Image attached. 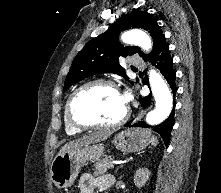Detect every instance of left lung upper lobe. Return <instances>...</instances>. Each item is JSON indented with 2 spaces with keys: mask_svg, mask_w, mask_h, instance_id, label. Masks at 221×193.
Wrapping results in <instances>:
<instances>
[{
  "mask_svg": "<svg viewBox=\"0 0 221 193\" xmlns=\"http://www.w3.org/2000/svg\"><path fill=\"white\" fill-rule=\"evenodd\" d=\"M130 28H143L149 31L153 38V50L149 56L143 55L139 47H124L117 41L118 34ZM164 41L165 35L154 17L147 11H134L123 15L108 31L90 40L76 55L66 77L63 91L71 85L99 73L111 72L127 79L124 68L119 64V58L139 53L146 60Z\"/></svg>",
  "mask_w": 221,
  "mask_h": 193,
  "instance_id": "obj_1",
  "label": "left lung upper lobe"
}]
</instances>
